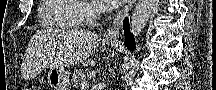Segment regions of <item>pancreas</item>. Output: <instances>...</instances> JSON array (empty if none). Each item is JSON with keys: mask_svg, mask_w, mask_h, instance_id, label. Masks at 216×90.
I'll use <instances>...</instances> for the list:
<instances>
[{"mask_svg": "<svg viewBox=\"0 0 216 90\" xmlns=\"http://www.w3.org/2000/svg\"><path fill=\"white\" fill-rule=\"evenodd\" d=\"M80 80H86V74L85 72H82V70H77V72H74L72 76V82L78 86V82H80Z\"/></svg>", "mask_w": 216, "mask_h": 90, "instance_id": "obj_1", "label": "pancreas"}]
</instances>
